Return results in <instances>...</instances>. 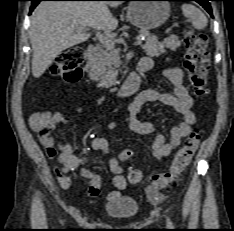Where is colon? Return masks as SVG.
Here are the masks:
<instances>
[{"label": "colon", "mask_w": 234, "mask_h": 231, "mask_svg": "<svg viewBox=\"0 0 234 231\" xmlns=\"http://www.w3.org/2000/svg\"><path fill=\"white\" fill-rule=\"evenodd\" d=\"M183 43L186 49L184 66L189 75L190 84L198 97L207 93V75L209 70V53L207 51V36L191 28L185 30ZM83 51L74 46L61 53L52 66V73L61 76L68 82H77L82 76L80 64L83 61ZM201 141L199 132H192L178 149L167 171L149 176L148 191L156 196L157 192L170 187L184 172L196 153ZM132 149H124L120 160L129 161L133 158ZM128 180L132 184L144 181V175L139 169H131Z\"/></svg>", "instance_id": "1"}]
</instances>
